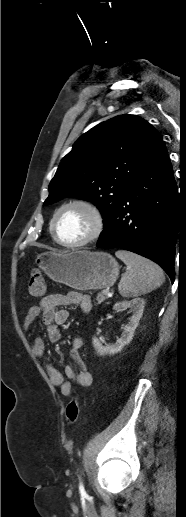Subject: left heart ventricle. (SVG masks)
Wrapping results in <instances>:
<instances>
[{"mask_svg": "<svg viewBox=\"0 0 186 517\" xmlns=\"http://www.w3.org/2000/svg\"><path fill=\"white\" fill-rule=\"evenodd\" d=\"M92 227L91 216L82 208L65 209L56 222V232L60 240L68 243L78 242L87 236Z\"/></svg>", "mask_w": 186, "mask_h": 517, "instance_id": "1", "label": "left heart ventricle"}]
</instances>
